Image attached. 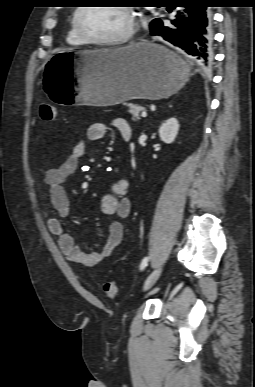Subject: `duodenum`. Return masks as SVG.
Listing matches in <instances>:
<instances>
[{"mask_svg":"<svg viewBox=\"0 0 255 387\" xmlns=\"http://www.w3.org/2000/svg\"><path fill=\"white\" fill-rule=\"evenodd\" d=\"M123 139L124 140H129L130 139V135L129 134H124L123 135Z\"/></svg>","mask_w":255,"mask_h":387,"instance_id":"1","label":"duodenum"}]
</instances>
